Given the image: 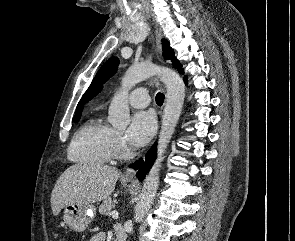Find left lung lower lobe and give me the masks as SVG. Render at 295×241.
<instances>
[{
	"mask_svg": "<svg viewBox=\"0 0 295 241\" xmlns=\"http://www.w3.org/2000/svg\"><path fill=\"white\" fill-rule=\"evenodd\" d=\"M155 157H156V145H153L146 155L145 162H143V160L140 159L131 165L132 168L139 169V171L136 174L139 180L142 181L144 179L146 173L152 167Z\"/></svg>",
	"mask_w": 295,
	"mask_h": 241,
	"instance_id": "left-lung-lower-lobe-1",
	"label": "left lung lower lobe"
}]
</instances>
